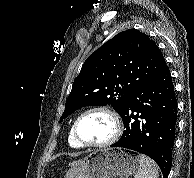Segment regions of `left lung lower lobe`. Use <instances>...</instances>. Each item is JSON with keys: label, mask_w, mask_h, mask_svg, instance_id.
Here are the masks:
<instances>
[{"label": "left lung lower lobe", "mask_w": 194, "mask_h": 178, "mask_svg": "<svg viewBox=\"0 0 194 178\" xmlns=\"http://www.w3.org/2000/svg\"><path fill=\"white\" fill-rule=\"evenodd\" d=\"M118 113L125 131L111 146L149 156L159 165L163 178H167L171 170L177 120V101L168 66L131 93Z\"/></svg>", "instance_id": "1"}]
</instances>
